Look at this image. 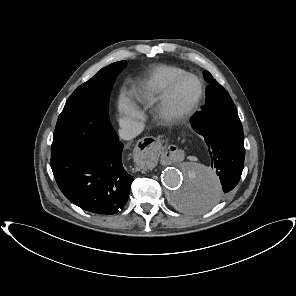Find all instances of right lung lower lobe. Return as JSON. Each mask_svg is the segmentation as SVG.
Returning <instances> with one entry per match:
<instances>
[{"label":"right lung lower lobe","instance_id":"98d812e1","mask_svg":"<svg viewBox=\"0 0 296 296\" xmlns=\"http://www.w3.org/2000/svg\"><path fill=\"white\" fill-rule=\"evenodd\" d=\"M122 149L112 129L103 140L52 151L50 165L66 198L92 213L119 212L134 180L122 166Z\"/></svg>","mask_w":296,"mask_h":296}]
</instances>
